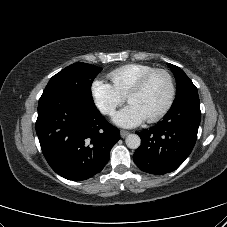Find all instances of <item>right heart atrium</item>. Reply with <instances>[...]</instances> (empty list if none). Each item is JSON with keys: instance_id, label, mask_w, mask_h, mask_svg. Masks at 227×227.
I'll return each mask as SVG.
<instances>
[{"instance_id": "obj_1", "label": "right heart atrium", "mask_w": 227, "mask_h": 227, "mask_svg": "<svg viewBox=\"0 0 227 227\" xmlns=\"http://www.w3.org/2000/svg\"><path fill=\"white\" fill-rule=\"evenodd\" d=\"M91 95L97 108L105 115H112L124 100L111 84L101 79L92 82Z\"/></svg>"}]
</instances>
